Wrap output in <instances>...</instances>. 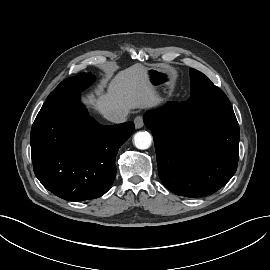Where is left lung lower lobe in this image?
Listing matches in <instances>:
<instances>
[{
    "label": "left lung lower lobe",
    "mask_w": 270,
    "mask_h": 270,
    "mask_svg": "<svg viewBox=\"0 0 270 270\" xmlns=\"http://www.w3.org/2000/svg\"><path fill=\"white\" fill-rule=\"evenodd\" d=\"M153 132L158 174L179 196L212 194L234 175L239 158V125L233 108L201 107L196 92L146 112Z\"/></svg>",
    "instance_id": "0a47b994"
}]
</instances>
